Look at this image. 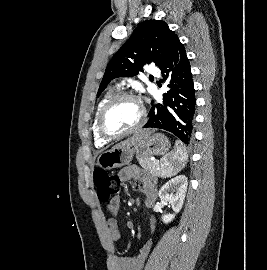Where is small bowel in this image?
<instances>
[{"instance_id": "c3829d8e", "label": "small bowel", "mask_w": 267, "mask_h": 270, "mask_svg": "<svg viewBox=\"0 0 267 270\" xmlns=\"http://www.w3.org/2000/svg\"><path fill=\"white\" fill-rule=\"evenodd\" d=\"M119 177L122 181L134 180L136 189L145 195V205L153 207L156 202V189L151 178L142 174L137 166H128L119 172ZM121 206V201L118 196L114 197L108 203L110 215L107 219L108 237L111 242H117L121 238V232L118 225V211ZM151 228H154L151 221ZM152 242L148 240L140 249L135 257H115L114 263L117 270H141L150 252Z\"/></svg>"}]
</instances>
